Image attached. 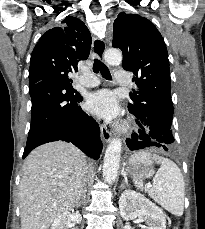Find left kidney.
Returning a JSON list of instances; mask_svg holds the SVG:
<instances>
[{
	"instance_id": "1",
	"label": "left kidney",
	"mask_w": 205,
	"mask_h": 229,
	"mask_svg": "<svg viewBox=\"0 0 205 229\" xmlns=\"http://www.w3.org/2000/svg\"><path fill=\"white\" fill-rule=\"evenodd\" d=\"M119 209L126 221L137 219L138 223L145 222L147 229H166L162 210L140 193L124 191L119 198Z\"/></svg>"
}]
</instances>
